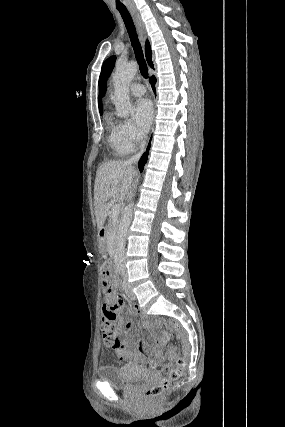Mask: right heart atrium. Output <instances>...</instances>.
Segmentation results:
<instances>
[{"label": "right heart atrium", "mask_w": 285, "mask_h": 427, "mask_svg": "<svg viewBox=\"0 0 285 427\" xmlns=\"http://www.w3.org/2000/svg\"><path fill=\"white\" fill-rule=\"evenodd\" d=\"M118 135L121 145L128 152L134 151L136 145L143 140L142 134L129 120H125L118 125Z\"/></svg>", "instance_id": "1"}]
</instances>
